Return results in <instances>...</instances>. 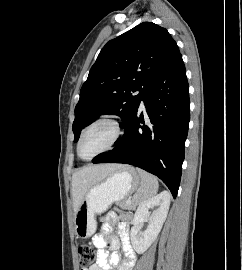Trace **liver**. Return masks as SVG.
Segmentation results:
<instances>
[{"mask_svg": "<svg viewBox=\"0 0 242 270\" xmlns=\"http://www.w3.org/2000/svg\"><path fill=\"white\" fill-rule=\"evenodd\" d=\"M123 167L120 164L90 165L76 171L72 176L74 212L79 209L86 192L92 186L102 182L111 173Z\"/></svg>", "mask_w": 242, "mask_h": 270, "instance_id": "6515ba94", "label": "liver"}]
</instances>
